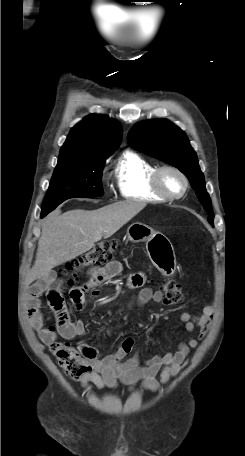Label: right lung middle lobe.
Listing matches in <instances>:
<instances>
[{
	"label": "right lung middle lobe",
	"mask_w": 245,
	"mask_h": 456,
	"mask_svg": "<svg viewBox=\"0 0 245 456\" xmlns=\"http://www.w3.org/2000/svg\"><path fill=\"white\" fill-rule=\"evenodd\" d=\"M105 159L73 160L58 163L42 206L47 215L69 198L98 197L104 194L101 185Z\"/></svg>",
	"instance_id": "obj_1"
}]
</instances>
